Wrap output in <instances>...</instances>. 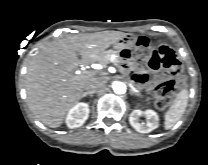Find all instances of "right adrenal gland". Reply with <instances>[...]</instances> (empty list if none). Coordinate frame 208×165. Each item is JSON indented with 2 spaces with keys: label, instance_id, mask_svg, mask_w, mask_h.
<instances>
[{
  "label": "right adrenal gland",
  "instance_id": "1",
  "mask_svg": "<svg viewBox=\"0 0 208 165\" xmlns=\"http://www.w3.org/2000/svg\"><path fill=\"white\" fill-rule=\"evenodd\" d=\"M87 96H89L90 98H92L93 97V94L92 93L85 92L83 94V97H87Z\"/></svg>",
  "mask_w": 208,
  "mask_h": 165
}]
</instances>
